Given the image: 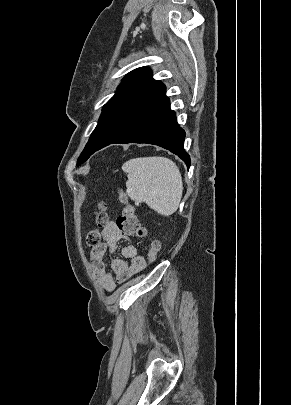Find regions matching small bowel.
Segmentation results:
<instances>
[{
    "instance_id": "small-bowel-1",
    "label": "small bowel",
    "mask_w": 291,
    "mask_h": 405,
    "mask_svg": "<svg viewBox=\"0 0 291 405\" xmlns=\"http://www.w3.org/2000/svg\"><path fill=\"white\" fill-rule=\"evenodd\" d=\"M103 242L92 249L90 265L92 273L98 284L107 292L115 290L116 285L127 281L133 275L145 268V260L138 254L137 248L128 244L121 249L122 258H115L111 262V272L107 270L104 257L113 253L118 243L126 236L118 229L116 223H106L102 230ZM129 260V262H127Z\"/></svg>"
}]
</instances>
